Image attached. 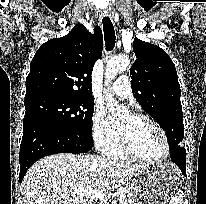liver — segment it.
<instances>
[{
	"instance_id": "liver-1",
	"label": "liver",
	"mask_w": 206,
	"mask_h": 204,
	"mask_svg": "<svg viewBox=\"0 0 206 204\" xmlns=\"http://www.w3.org/2000/svg\"><path fill=\"white\" fill-rule=\"evenodd\" d=\"M141 165L118 163L97 155L60 153L32 165L21 184L24 204H80L74 190L107 193L126 184Z\"/></svg>"
}]
</instances>
